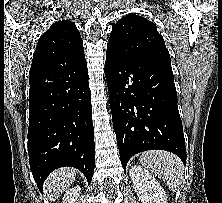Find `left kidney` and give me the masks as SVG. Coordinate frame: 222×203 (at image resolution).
Masks as SVG:
<instances>
[{"mask_svg": "<svg viewBox=\"0 0 222 203\" xmlns=\"http://www.w3.org/2000/svg\"><path fill=\"white\" fill-rule=\"evenodd\" d=\"M129 175L142 203H168L166 192L146 169L132 165Z\"/></svg>", "mask_w": 222, "mask_h": 203, "instance_id": "left-kidney-1", "label": "left kidney"}]
</instances>
